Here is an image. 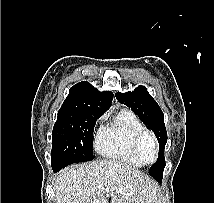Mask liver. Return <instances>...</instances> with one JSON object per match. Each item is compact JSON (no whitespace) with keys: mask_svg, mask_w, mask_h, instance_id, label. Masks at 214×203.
Segmentation results:
<instances>
[{"mask_svg":"<svg viewBox=\"0 0 214 203\" xmlns=\"http://www.w3.org/2000/svg\"><path fill=\"white\" fill-rule=\"evenodd\" d=\"M54 190L56 203H108V197L110 203H151L157 199V186L151 178L111 160L61 170Z\"/></svg>","mask_w":214,"mask_h":203,"instance_id":"obj_1","label":"liver"}]
</instances>
